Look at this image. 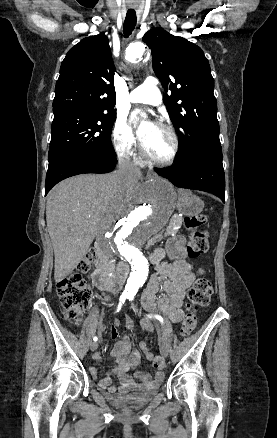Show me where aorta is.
Returning a JSON list of instances; mask_svg holds the SVG:
<instances>
[{"instance_id":"aorta-1","label":"aorta","mask_w":277,"mask_h":438,"mask_svg":"<svg viewBox=\"0 0 277 438\" xmlns=\"http://www.w3.org/2000/svg\"><path fill=\"white\" fill-rule=\"evenodd\" d=\"M142 43L131 44L126 58L138 63L145 54ZM174 209L170 184L154 179L137 187L130 195L119 221L108 234L112 249L131 264V273L125 286L130 295L137 293L149 272V263L143 254L144 244L166 224Z\"/></svg>"}]
</instances>
